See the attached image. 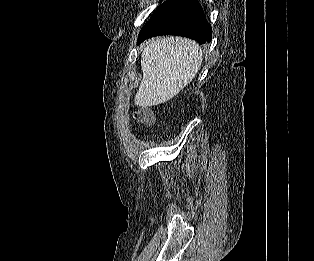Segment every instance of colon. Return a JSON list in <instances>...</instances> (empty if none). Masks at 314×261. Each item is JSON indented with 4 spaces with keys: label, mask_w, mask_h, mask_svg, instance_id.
<instances>
[{
    "label": "colon",
    "mask_w": 314,
    "mask_h": 261,
    "mask_svg": "<svg viewBox=\"0 0 314 261\" xmlns=\"http://www.w3.org/2000/svg\"><path fill=\"white\" fill-rule=\"evenodd\" d=\"M134 118L142 125L150 126L154 122V115L148 108H140L134 113Z\"/></svg>",
    "instance_id": "5ec220e1"
}]
</instances>
